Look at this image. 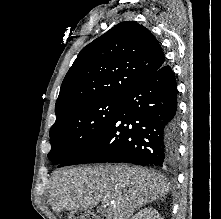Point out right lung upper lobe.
<instances>
[{"instance_id": "obj_1", "label": "right lung upper lobe", "mask_w": 221, "mask_h": 219, "mask_svg": "<svg viewBox=\"0 0 221 219\" xmlns=\"http://www.w3.org/2000/svg\"><path fill=\"white\" fill-rule=\"evenodd\" d=\"M165 64L160 44L135 21L115 25L85 46L66 74L55 105L57 118L103 98H122Z\"/></svg>"}]
</instances>
